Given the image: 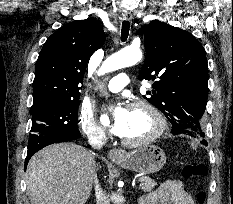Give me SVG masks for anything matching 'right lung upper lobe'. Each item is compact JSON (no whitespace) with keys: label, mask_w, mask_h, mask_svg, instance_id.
Returning a JSON list of instances; mask_svg holds the SVG:
<instances>
[{"label":"right lung upper lobe","mask_w":233,"mask_h":204,"mask_svg":"<svg viewBox=\"0 0 233 204\" xmlns=\"http://www.w3.org/2000/svg\"><path fill=\"white\" fill-rule=\"evenodd\" d=\"M104 40L102 26L93 18L68 23L53 33L36 62L32 107L79 100L86 64Z\"/></svg>","instance_id":"right-lung-upper-lobe-1"}]
</instances>
